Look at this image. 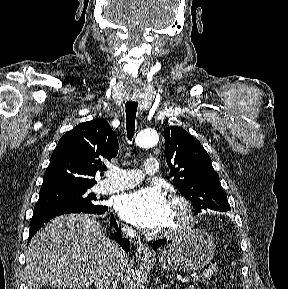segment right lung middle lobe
<instances>
[{"label":"right lung middle lobe","mask_w":288,"mask_h":289,"mask_svg":"<svg viewBox=\"0 0 288 289\" xmlns=\"http://www.w3.org/2000/svg\"><path fill=\"white\" fill-rule=\"evenodd\" d=\"M90 188L53 187L41 189L34 210L60 207L93 211L104 207L95 202L97 198L89 191Z\"/></svg>","instance_id":"1"}]
</instances>
